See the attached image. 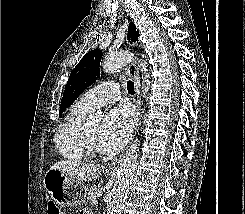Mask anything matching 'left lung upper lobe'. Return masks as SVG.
Listing matches in <instances>:
<instances>
[{
    "mask_svg": "<svg viewBox=\"0 0 245 214\" xmlns=\"http://www.w3.org/2000/svg\"><path fill=\"white\" fill-rule=\"evenodd\" d=\"M139 32L132 23L129 25L128 37L131 41L137 40ZM102 53L100 50L89 51L72 70L66 84L61 100L59 115L70 106L78 96L100 76V61Z\"/></svg>",
    "mask_w": 245,
    "mask_h": 214,
    "instance_id": "1",
    "label": "left lung upper lobe"
}]
</instances>
